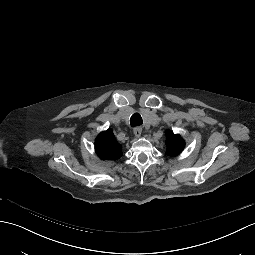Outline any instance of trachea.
Listing matches in <instances>:
<instances>
[{"instance_id":"trachea-1","label":"trachea","mask_w":255,"mask_h":255,"mask_svg":"<svg viewBox=\"0 0 255 255\" xmlns=\"http://www.w3.org/2000/svg\"><path fill=\"white\" fill-rule=\"evenodd\" d=\"M142 117L139 113H134L130 118L131 127H140L142 125Z\"/></svg>"}]
</instances>
